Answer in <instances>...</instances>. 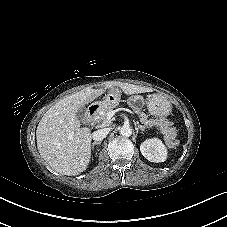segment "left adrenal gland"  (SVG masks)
Here are the masks:
<instances>
[{
	"instance_id": "a2214340",
	"label": "left adrenal gland",
	"mask_w": 227,
	"mask_h": 227,
	"mask_svg": "<svg viewBox=\"0 0 227 227\" xmlns=\"http://www.w3.org/2000/svg\"><path fill=\"white\" fill-rule=\"evenodd\" d=\"M135 125H137L138 129H140L142 131V133L145 131L146 128H148L146 126L140 125L138 122H136Z\"/></svg>"
}]
</instances>
